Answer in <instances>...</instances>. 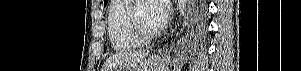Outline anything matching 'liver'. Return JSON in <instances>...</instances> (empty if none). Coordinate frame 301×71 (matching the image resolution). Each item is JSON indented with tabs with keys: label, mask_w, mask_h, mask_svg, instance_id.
<instances>
[{
	"label": "liver",
	"mask_w": 301,
	"mask_h": 71,
	"mask_svg": "<svg viewBox=\"0 0 301 71\" xmlns=\"http://www.w3.org/2000/svg\"><path fill=\"white\" fill-rule=\"evenodd\" d=\"M149 52L144 50L120 52L110 56L104 63L101 71H114L127 66L141 63Z\"/></svg>",
	"instance_id": "liver-1"
}]
</instances>
